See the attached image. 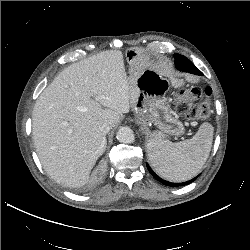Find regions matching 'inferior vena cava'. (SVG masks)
Here are the masks:
<instances>
[{
	"label": "inferior vena cava",
	"instance_id": "602c4592",
	"mask_svg": "<svg viewBox=\"0 0 250 250\" xmlns=\"http://www.w3.org/2000/svg\"><path fill=\"white\" fill-rule=\"evenodd\" d=\"M99 129L104 133H108L111 129V126L108 122H103L99 125Z\"/></svg>",
	"mask_w": 250,
	"mask_h": 250
}]
</instances>
